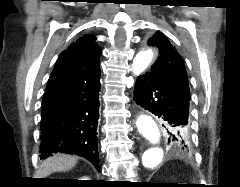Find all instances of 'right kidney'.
Returning <instances> with one entry per match:
<instances>
[{
  "label": "right kidney",
  "instance_id": "ca27d5eb",
  "mask_svg": "<svg viewBox=\"0 0 240 187\" xmlns=\"http://www.w3.org/2000/svg\"><path fill=\"white\" fill-rule=\"evenodd\" d=\"M82 180H89V178H87V177H84V178H82Z\"/></svg>",
  "mask_w": 240,
  "mask_h": 187
}]
</instances>
